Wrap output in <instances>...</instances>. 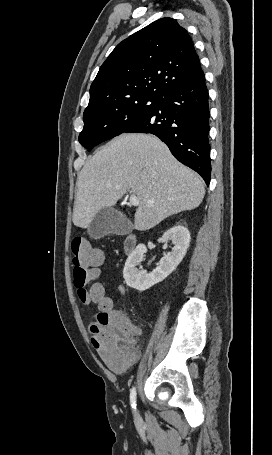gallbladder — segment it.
<instances>
[{
	"label": "gallbladder",
	"mask_w": 272,
	"mask_h": 455,
	"mask_svg": "<svg viewBox=\"0 0 272 455\" xmlns=\"http://www.w3.org/2000/svg\"><path fill=\"white\" fill-rule=\"evenodd\" d=\"M130 221L112 207L100 210L88 226L90 237L99 239L108 234L126 235L132 231Z\"/></svg>",
	"instance_id": "obj_1"
}]
</instances>
